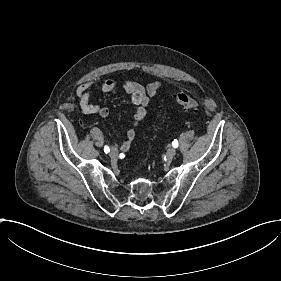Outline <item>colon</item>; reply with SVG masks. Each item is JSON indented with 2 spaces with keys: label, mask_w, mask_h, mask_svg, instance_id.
Returning a JSON list of instances; mask_svg holds the SVG:
<instances>
[{
  "label": "colon",
  "mask_w": 281,
  "mask_h": 281,
  "mask_svg": "<svg viewBox=\"0 0 281 281\" xmlns=\"http://www.w3.org/2000/svg\"><path fill=\"white\" fill-rule=\"evenodd\" d=\"M177 105L187 111H198L200 108L199 101L187 93H179L176 96Z\"/></svg>",
  "instance_id": "1"
}]
</instances>
